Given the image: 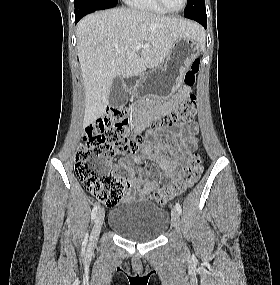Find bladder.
Segmentation results:
<instances>
[{
	"label": "bladder",
	"instance_id": "1",
	"mask_svg": "<svg viewBox=\"0 0 280 285\" xmlns=\"http://www.w3.org/2000/svg\"><path fill=\"white\" fill-rule=\"evenodd\" d=\"M167 211L143 200L125 201L109 213L108 226L119 236L135 241L159 238L168 228Z\"/></svg>",
	"mask_w": 280,
	"mask_h": 285
}]
</instances>
